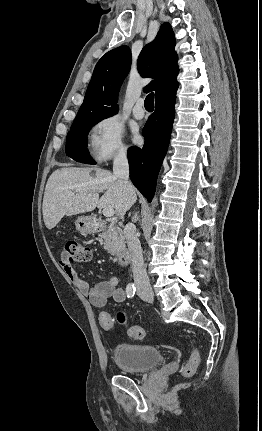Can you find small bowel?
<instances>
[{"label":"small bowel","mask_w":262,"mask_h":431,"mask_svg":"<svg viewBox=\"0 0 262 431\" xmlns=\"http://www.w3.org/2000/svg\"><path fill=\"white\" fill-rule=\"evenodd\" d=\"M60 265L72 284L88 298L92 306L103 308L107 305L110 298L117 304L123 303L126 300V291L118 287V277H110L107 280L98 282L94 287L90 288L88 283L76 272L74 267L63 261Z\"/></svg>","instance_id":"1"}]
</instances>
